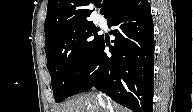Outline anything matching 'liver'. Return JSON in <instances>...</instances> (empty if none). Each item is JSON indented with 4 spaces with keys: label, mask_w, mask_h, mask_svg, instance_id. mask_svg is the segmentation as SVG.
<instances>
[{
    "label": "liver",
    "mask_w": 193,
    "mask_h": 112,
    "mask_svg": "<svg viewBox=\"0 0 193 112\" xmlns=\"http://www.w3.org/2000/svg\"><path fill=\"white\" fill-rule=\"evenodd\" d=\"M57 112H128L117 104L101 102L97 93L77 95L58 106Z\"/></svg>",
    "instance_id": "6515ba94"
}]
</instances>
